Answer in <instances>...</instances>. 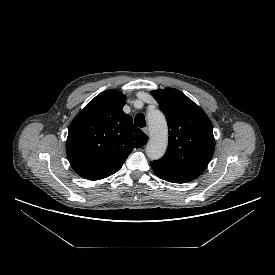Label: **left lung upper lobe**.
Returning <instances> with one entry per match:
<instances>
[{
	"mask_svg": "<svg viewBox=\"0 0 275 275\" xmlns=\"http://www.w3.org/2000/svg\"><path fill=\"white\" fill-rule=\"evenodd\" d=\"M151 94L159 103L169 127L166 153L151 162V166L192 181L204 172L213 156L212 123L197 104L177 89H158Z\"/></svg>",
	"mask_w": 275,
	"mask_h": 275,
	"instance_id": "obj_1",
	"label": "left lung upper lobe"
}]
</instances>
